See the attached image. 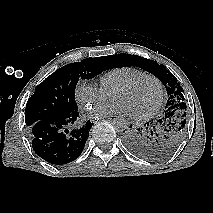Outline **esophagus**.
Here are the masks:
<instances>
[{
  "label": "esophagus",
  "mask_w": 213,
  "mask_h": 213,
  "mask_svg": "<svg viewBox=\"0 0 213 213\" xmlns=\"http://www.w3.org/2000/svg\"><path fill=\"white\" fill-rule=\"evenodd\" d=\"M99 119L115 120V119H117V116H114V115H107V116L99 117Z\"/></svg>",
  "instance_id": "obj_1"
}]
</instances>
